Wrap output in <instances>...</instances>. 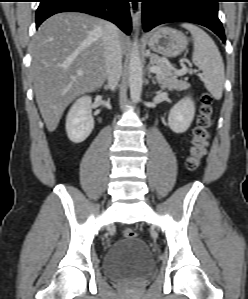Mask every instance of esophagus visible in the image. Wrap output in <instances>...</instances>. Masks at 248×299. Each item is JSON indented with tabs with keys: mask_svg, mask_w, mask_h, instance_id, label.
<instances>
[{
	"mask_svg": "<svg viewBox=\"0 0 248 299\" xmlns=\"http://www.w3.org/2000/svg\"><path fill=\"white\" fill-rule=\"evenodd\" d=\"M130 13L133 21V26L136 28L140 25L141 5L137 1L130 3Z\"/></svg>",
	"mask_w": 248,
	"mask_h": 299,
	"instance_id": "esophagus-1",
	"label": "esophagus"
}]
</instances>
